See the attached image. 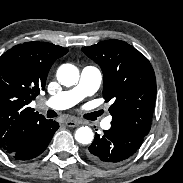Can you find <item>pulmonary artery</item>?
I'll use <instances>...</instances> for the list:
<instances>
[{"mask_svg": "<svg viewBox=\"0 0 183 183\" xmlns=\"http://www.w3.org/2000/svg\"><path fill=\"white\" fill-rule=\"evenodd\" d=\"M101 80L100 70L94 66H87L81 71L77 85L45 100L44 105L57 110L70 108L85 97L93 95L99 89ZM110 120L109 117L103 122L105 129H110Z\"/></svg>", "mask_w": 183, "mask_h": 183, "instance_id": "e3ab8cb5", "label": "pulmonary artery"}]
</instances>
